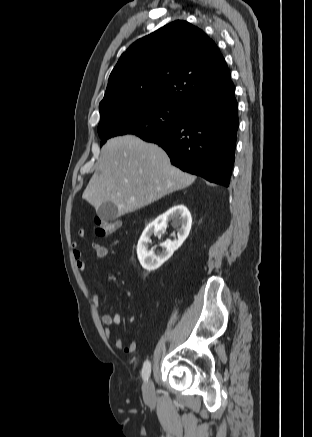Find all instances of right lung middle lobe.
Wrapping results in <instances>:
<instances>
[{
  "instance_id": "1",
  "label": "right lung middle lobe",
  "mask_w": 312,
  "mask_h": 437,
  "mask_svg": "<svg viewBox=\"0 0 312 437\" xmlns=\"http://www.w3.org/2000/svg\"><path fill=\"white\" fill-rule=\"evenodd\" d=\"M185 108L160 102L133 103L118 107L100 117L98 134L103 145L110 137L135 134L144 139L177 125Z\"/></svg>"
}]
</instances>
